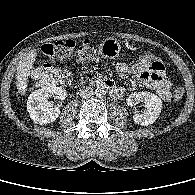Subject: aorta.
I'll return each mask as SVG.
<instances>
[{"label":"aorta","instance_id":"aorta-1","mask_svg":"<svg viewBox=\"0 0 195 195\" xmlns=\"http://www.w3.org/2000/svg\"><path fill=\"white\" fill-rule=\"evenodd\" d=\"M95 94L97 97L101 98L106 94V89L104 87H97L95 90Z\"/></svg>","mask_w":195,"mask_h":195}]
</instances>
